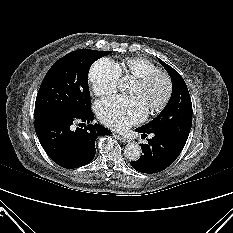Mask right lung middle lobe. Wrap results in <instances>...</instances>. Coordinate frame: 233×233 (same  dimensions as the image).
I'll return each mask as SVG.
<instances>
[{"label":"right lung middle lobe","instance_id":"dd1d6c3e","mask_svg":"<svg viewBox=\"0 0 233 233\" xmlns=\"http://www.w3.org/2000/svg\"><path fill=\"white\" fill-rule=\"evenodd\" d=\"M110 51L79 49L56 61L45 75L35 102V119L76 114L90 108V66Z\"/></svg>","mask_w":233,"mask_h":233}]
</instances>
